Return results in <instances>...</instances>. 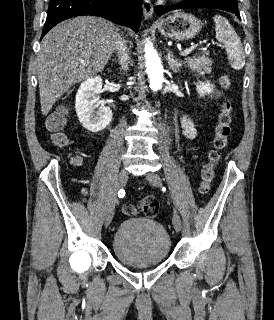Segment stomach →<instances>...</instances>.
<instances>
[{"instance_id":"stomach-1","label":"stomach","mask_w":274,"mask_h":320,"mask_svg":"<svg viewBox=\"0 0 274 320\" xmlns=\"http://www.w3.org/2000/svg\"><path fill=\"white\" fill-rule=\"evenodd\" d=\"M202 26L201 20H197L195 16H190V14H184V12L172 14L164 20H159L156 24L160 34L165 38H171V40H191V38L198 36Z\"/></svg>"}]
</instances>
